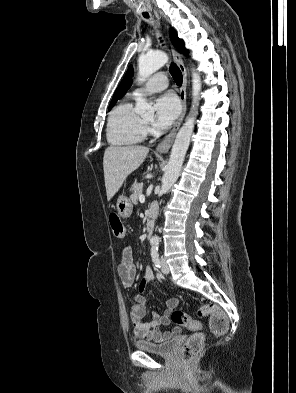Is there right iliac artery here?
<instances>
[{"mask_svg":"<svg viewBox=\"0 0 296 393\" xmlns=\"http://www.w3.org/2000/svg\"><path fill=\"white\" fill-rule=\"evenodd\" d=\"M151 243H152V245L156 244V242H154V241H152Z\"/></svg>","mask_w":296,"mask_h":393,"instance_id":"obj_1","label":"right iliac artery"}]
</instances>
